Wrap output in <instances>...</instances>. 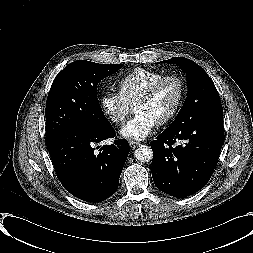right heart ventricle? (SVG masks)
<instances>
[{"instance_id": "e07e8e85", "label": "right heart ventricle", "mask_w": 253, "mask_h": 253, "mask_svg": "<svg viewBox=\"0 0 253 253\" xmlns=\"http://www.w3.org/2000/svg\"><path fill=\"white\" fill-rule=\"evenodd\" d=\"M165 75L160 70L136 68L118 81V90L122 97L133 106L151 84Z\"/></svg>"}]
</instances>
